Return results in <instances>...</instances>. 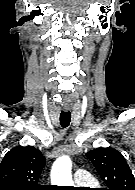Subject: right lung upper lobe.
<instances>
[{"label":"right lung upper lobe","mask_w":135,"mask_h":190,"mask_svg":"<svg viewBox=\"0 0 135 190\" xmlns=\"http://www.w3.org/2000/svg\"><path fill=\"white\" fill-rule=\"evenodd\" d=\"M45 158L33 146L11 149L0 163V190H37Z\"/></svg>","instance_id":"1"}]
</instances>
